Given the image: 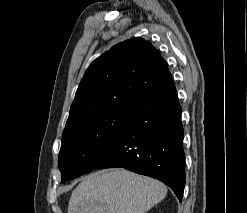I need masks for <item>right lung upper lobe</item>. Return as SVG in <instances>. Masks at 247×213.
<instances>
[{"label": "right lung upper lobe", "instance_id": "obj_1", "mask_svg": "<svg viewBox=\"0 0 247 213\" xmlns=\"http://www.w3.org/2000/svg\"><path fill=\"white\" fill-rule=\"evenodd\" d=\"M172 79L166 61L142 38L116 44L87 69L63 133L105 109Z\"/></svg>", "mask_w": 247, "mask_h": 213}]
</instances>
